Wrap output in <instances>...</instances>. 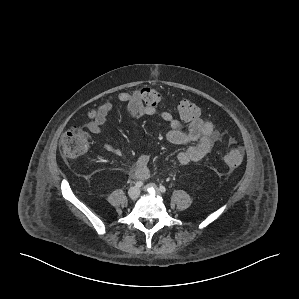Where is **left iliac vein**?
<instances>
[{
    "instance_id": "4c4485c4",
    "label": "left iliac vein",
    "mask_w": 299,
    "mask_h": 299,
    "mask_svg": "<svg viewBox=\"0 0 299 299\" xmlns=\"http://www.w3.org/2000/svg\"><path fill=\"white\" fill-rule=\"evenodd\" d=\"M143 189L146 191H148V189H152L153 193H155L156 195H161L160 190L157 188L155 184L146 185Z\"/></svg>"
}]
</instances>
